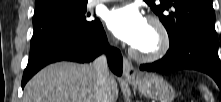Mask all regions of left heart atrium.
Instances as JSON below:
<instances>
[{
  "label": "left heart atrium",
  "instance_id": "obj_1",
  "mask_svg": "<svg viewBox=\"0 0 221 102\" xmlns=\"http://www.w3.org/2000/svg\"><path fill=\"white\" fill-rule=\"evenodd\" d=\"M107 27L120 40L135 46L143 37L147 21L138 8L124 6L111 10L105 18Z\"/></svg>",
  "mask_w": 221,
  "mask_h": 102
}]
</instances>
